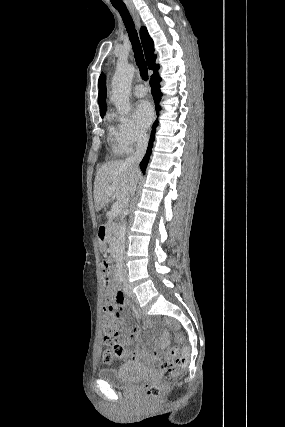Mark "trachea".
I'll use <instances>...</instances> for the list:
<instances>
[{"label":"trachea","instance_id":"obj_1","mask_svg":"<svg viewBox=\"0 0 285 427\" xmlns=\"http://www.w3.org/2000/svg\"><path fill=\"white\" fill-rule=\"evenodd\" d=\"M115 9L118 10V12L120 13V15L123 19V22H124V25L126 27L130 42L132 44L134 57H135L137 65H138L141 77L143 80L147 81L148 80L147 64H146L145 59H144L142 47H141V44L139 41L137 31L135 29V25H134V22L132 20V17L130 15L127 7H115Z\"/></svg>","mask_w":285,"mask_h":427}]
</instances>
